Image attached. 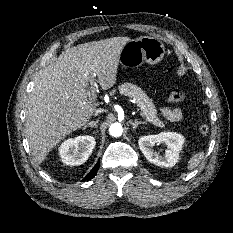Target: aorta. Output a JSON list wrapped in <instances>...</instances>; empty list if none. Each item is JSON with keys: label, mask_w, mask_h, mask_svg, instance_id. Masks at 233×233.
I'll list each match as a JSON object with an SVG mask.
<instances>
[{"label": "aorta", "mask_w": 233, "mask_h": 233, "mask_svg": "<svg viewBox=\"0 0 233 233\" xmlns=\"http://www.w3.org/2000/svg\"><path fill=\"white\" fill-rule=\"evenodd\" d=\"M123 128L120 123H114L109 127V133L113 137H119L122 135Z\"/></svg>", "instance_id": "762f6f07"}]
</instances>
